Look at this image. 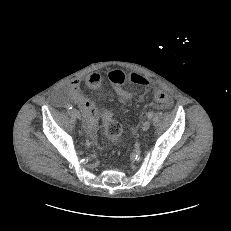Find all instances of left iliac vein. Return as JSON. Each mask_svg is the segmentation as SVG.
<instances>
[{"instance_id": "obj_1", "label": "left iliac vein", "mask_w": 231, "mask_h": 231, "mask_svg": "<svg viewBox=\"0 0 231 231\" xmlns=\"http://www.w3.org/2000/svg\"><path fill=\"white\" fill-rule=\"evenodd\" d=\"M150 121L149 120H146L144 121L143 125H142V130L143 131H147L149 128H150Z\"/></svg>"}]
</instances>
